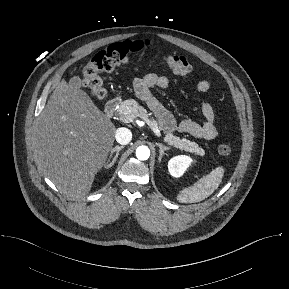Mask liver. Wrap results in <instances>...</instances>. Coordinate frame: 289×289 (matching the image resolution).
<instances>
[{
    "instance_id": "obj_1",
    "label": "liver",
    "mask_w": 289,
    "mask_h": 289,
    "mask_svg": "<svg viewBox=\"0 0 289 289\" xmlns=\"http://www.w3.org/2000/svg\"><path fill=\"white\" fill-rule=\"evenodd\" d=\"M115 132L85 91L62 80L39 116L36 163L61 193L81 198L104 166Z\"/></svg>"
}]
</instances>
